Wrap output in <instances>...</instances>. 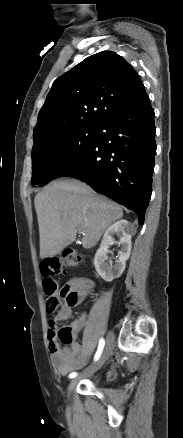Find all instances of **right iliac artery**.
<instances>
[{"mask_svg": "<svg viewBox=\"0 0 183 438\" xmlns=\"http://www.w3.org/2000/svg\"><path fill=\"white\" fill-rule=\"evenodd\" d=\"M104 345H105V341H104V339L102 338V339H100V341H99L98 349H97V352H96V354H95V356H94V361H97V360L100 358V355H101V353H102V351H103ZM76 376H77V373H76V372H72V373L69 375V378H74V377H76Z\"/></svg>", "mask_w": 183, "mask_h": 438, "instance_id": "right-iliac-artery-1", "label": "right iliac artery"}]
</instances>
